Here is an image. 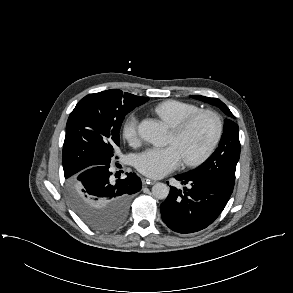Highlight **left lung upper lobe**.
<instances>
[{
	"label": "left lung upper lobe",
	"instance_id": "1",
	"mask_svg": "<svg viewBox=\"0 0 293 293\" xmlns=\"http://www.w3.org/2000/svg\"><path fill=\"white\" fill-rule=\"evenodd\" d=\"M195 99L219 107L227 116L224 131L217 150L198 168L187 173L212 178L234 187L236 165L240 157L239 127L233 122L235 116L229 108L217 98L193 95Z\"/></svg>",
	"mask_w": 293,
	"mask_h": 293
}]
</instances>
